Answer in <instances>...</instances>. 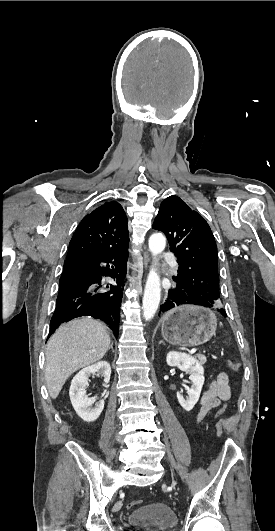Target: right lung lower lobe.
<instances>
[{
    "label": "right lung lower lobe",
    "instance_id": "right-lung-lower-lobe-1",
    "mask_svg": "<svg viewBox=\"0 0 275 531\" xmlns=\"http://www.w3.org/2000/svg\"><path fill=\"white\" fill-rule=\"evenodd\" d=\"M127 258L128 245L67 258L59 281L49 336L61 323L80 316H92L104 321L117 336ZM105 276L114 278L116 284L103 282Z\"/></svg>",
    "mask_w": 275,
    "mask_h": 531
}]
</instances>
